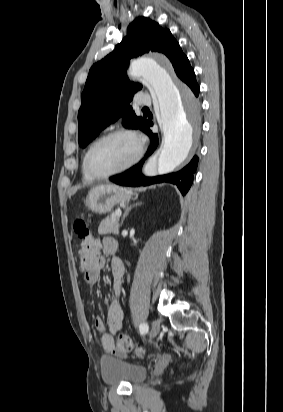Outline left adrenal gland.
<instances>
[{
	"instance_id": "1",
	"label": "left adrenal gland",
	"mask_w": 283,
	"mask_h": 412,
	"mask_svg": "<svg viewBox=\"0 0 283 412\" xmlns=\"http://www.w3.org/2000/svg\"><path fill=\"white\" fill-rule=\"evenodd\" d=\"M138 205H141V203H136V204L127 206V207L125 208V212H124L123 217H122V219H121V224H120V226L123 225V222H124L125 218L128 216V214H129V212L132 210V208H133V207H136V206H138Z\"/></svg>"
}]
</instances>
